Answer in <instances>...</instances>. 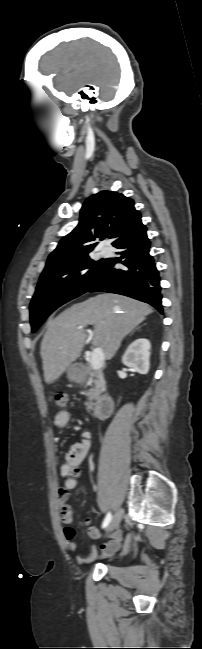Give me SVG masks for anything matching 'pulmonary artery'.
Segmentation results:
<instances>
[{"label": "pulmonary artery", "mask_w": 202, "mask_h": 649, "mask_svg": "<svg viewBox=\"0 0 202 649\" xmlns=\"http://www.w3.org/2000/svg\"><path fill=\"white\" fill-rule=\"evenodd\" d=\"M101 253H102V255H106V254L108 253L107 248H103L102 251H101Z\"/></svg>", "instance_id": "e3ab8cb5"}]
</instances>
